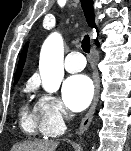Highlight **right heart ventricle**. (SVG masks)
Listing matches in <instances>:
<instances>
[{
  "label": "right heart ventricle",
  "mask_w": 131,
  "mask_h": 151,
  "mask_svg": "<svg viewBox=\"0 0 131 151\" xmlns=\"http://www.w3.org/2000/svg\"><path fill=\"white\" fill-rule=\"evenodd\" d=\"M20 125L22 130L29 135L44 134L40 125L36 105L30 107L28 104H24L22 106L20 111Z\"/></svg>",
  "instance_id": "e07e8e85"
}]
</instances>
